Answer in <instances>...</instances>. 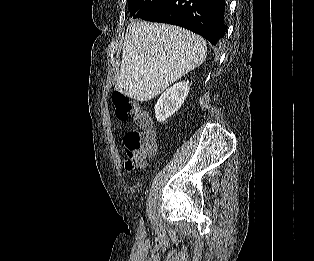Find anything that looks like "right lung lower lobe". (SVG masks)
I'll return each mask as SVG.
<instances>
[{"label":"right lung lower lobe","instance_id":"right-lung-lower-lobe-1","mask_svg":"<svg viewBox=\"0 0 314 261\" xmlns=\"http://www.w3.org/2000/svg\"><path fill=\"white\" fill-rule=\"evenodd\" d=\"M226 0H166L142 19L178 25L217 44L224 37Z\"/></svg>","mask_w":314,"mask_h":261}]
</instances>
